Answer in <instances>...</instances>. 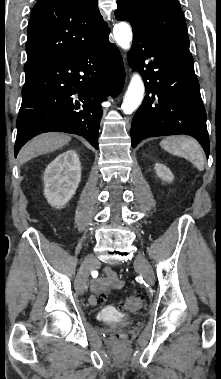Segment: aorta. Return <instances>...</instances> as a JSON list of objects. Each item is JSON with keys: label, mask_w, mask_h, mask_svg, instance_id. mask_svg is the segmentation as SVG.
<instances>
[{"label": "aorta", "mask_w": 221, "mask_h": 379, "mask_svg": "<svg viewBox=\"0 0 221 379\" xmlns=\"http://www.w3.org/2000/svg\"><path fill=\"white\" fill-rule=\"evenodd\" d=\"M114 38L117 44L124 50H129L132 42V30L126 22H120L114 26ZM144 84L138 73H134L128 90L124 96L122 110L125 114H131L143 100Z\"/></svg>", "instance_id": "aorta-1"}]
</instances>
